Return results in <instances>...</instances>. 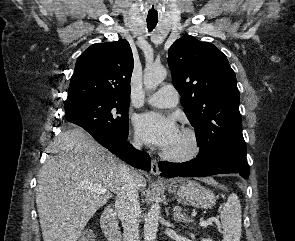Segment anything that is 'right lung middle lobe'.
<instances>
[{
  "label": "right lung middle lobe",
  "instance_id": "obj_1",
  "mask_svg": "<svg viewBox=\"0 0 295 241\" xmlns=\"http://www.w3.org/2000/svg\"><path fill=\"white\" fill-rule=\"evenodd\" d=\"M129 101H87L65 109V117L84 129L94 128L116 136L129 133Z\"/></svg>",
  "mask_w": 295,
  "mask_h": 241
}]
</instances>
